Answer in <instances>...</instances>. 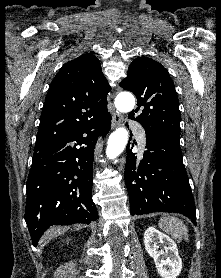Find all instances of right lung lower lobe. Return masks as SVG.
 I'll use <instances>...</instances> for the list:
<instances>
[{
  "instance_id": "1",
  "label": "right lung lower lobe",
  "mask_w": 221,
  "mask_h": 278,
  "mask_svg": "<svg viewBox=\"0 0 221 278\" xmlns=\"http://www.w3.org/2000/svg\"><path fill=\"white\" fill-rule=\"evenodd\" d=\"M111 116L88 121L34 149L27 180L25 220L33 245L51 225L89 224L98 219L92 200L93 156Z\"/></svg>"
}]
</instances>
